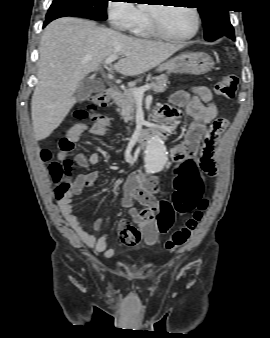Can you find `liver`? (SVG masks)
Returning <instances> with one entry per match:
<instances>
[{
    "label": "liver",
    "mask_w": 270,
    "mask_h": 338,
    "mask_svg": "<svg viewBox=\"0 0 270 338\" xmlns=\"http://www.w3.org/2000/svg\"><path fill=\"white\" fill-rule=\"evenodd\" d=\"M183 45L128 37L83 19L65 17L51 22L39 45L38 84L31 100L37 141L47 138L76 102L74 93L89 73L112 55L123 58L113 68L136 76L160 65Z\"/></svg>",
    "instance_id": "1"
}]
</instances>
